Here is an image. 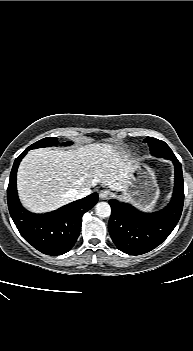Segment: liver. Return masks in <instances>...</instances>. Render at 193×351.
<instances>
[{
    "mask_svg": "<svg viewBox=\"0 0 193 351\" xmlns=\"http://www.w3.org/2000/svg\"><path fill=\"white\" fill-rule=\"evenodd\" d=\"M131 172L126 157L110 144L70 150L40 148L29 151L20 163L17 188L27 209L44 213L74 201L73 191L98 183L123 192Z\"/></svg>",
    "mask_w": 193,
    "mask_h": 351,
    "instance_id": "liver-1",
    "label": "liver"
}]
</instances>
